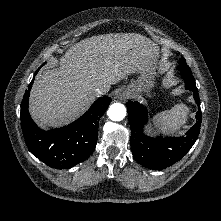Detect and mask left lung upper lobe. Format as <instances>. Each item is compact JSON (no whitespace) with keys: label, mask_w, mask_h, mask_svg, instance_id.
<instances>
[{"label":"left lung upper lobe","mask_w":221,"mask_h":221,"mask_svg":"<svg viewBox=\"0 0 221 221\" xmlns=\"http://www.w3.org/2000/svg\"><path fill=\"white\" fill-rule=\"evenodd\" d=\"M178 68L181 70V72H191L189 66L187 65L185 58H181L179 60V66Z\"/></svg>","instance_id":"5c2ea615"}]
</instances>
